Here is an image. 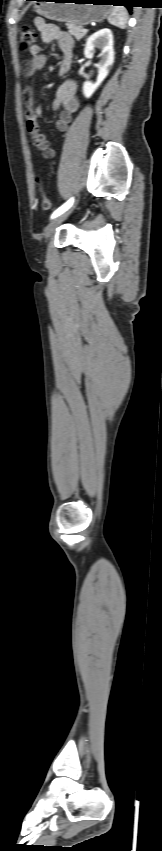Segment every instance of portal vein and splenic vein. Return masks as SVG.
Wrapping results in <instances>:
<instances>
[{
	"label": "portal vein and splenic vein",
	"mask_w": 162,
	"mask_h": 851,
	"mask_svg": "<svg viewBox=\"0 0 162 851\" xmlns=\"http://www.w3.org/2000/svg\"><path fill=\"white\" fill-rule=\"evenodd\" d=\"M82 31H83V32H87L88 30L83 28V30H82Z\"/></svg>",
	"instance_id": "obj_1"
}]
</instances>
